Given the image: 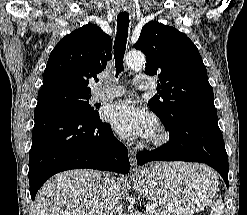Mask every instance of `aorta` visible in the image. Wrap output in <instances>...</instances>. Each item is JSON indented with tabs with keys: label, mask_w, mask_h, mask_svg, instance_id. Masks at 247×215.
<instances>
[{
	"label": "aorta",
	"mask_w": 247,
	"mask_h": 215,
	"mask_svg": "<svg viewBox=\"0 0 247 215\" xmlns=\"http://www.w3.org/2000/svg\"><path fill=\"white\" fill-rule=\"evenodd\" d=\"M145 56L139 51L129 52L126 56V64L132 69H139L145 65Z\"/></svg>",
	"instance_id": "1"
}]
</instances>
